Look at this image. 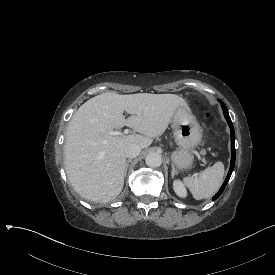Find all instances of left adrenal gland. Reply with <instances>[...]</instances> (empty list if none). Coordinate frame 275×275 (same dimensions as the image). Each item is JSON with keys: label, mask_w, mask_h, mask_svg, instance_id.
I'll return each instance as SVG.
<instances>
[{"label": "left adrenal gland", "mask_w": 275, "mask_h": 275, "mask_svg": "<svg viewBox=\"0 0 275 275\" xmlns=\"http://www.w3.org/2000/svg\"><path fill=\"white\" fill-rule=\"evenodd\" d=\"M171 165H172L171 177H173V176H174V174H175L176 172H178V169H177V168H175V165H174V163H173V162H171Z\"/></svg>", "instance_id": "obj_1"}]
</instances>
